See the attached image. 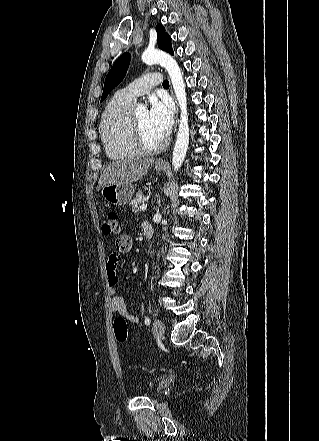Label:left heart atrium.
I'll use <instances>...</instances> for the list:
<instances>
[{
    "label": "left heart atrium",
    "mask_w": 319,
    "mask_h": 441,
    "mask_svg": "<svg viewBox=\"0 0 319 441\" xmlns=\"http://www.w3.org/2000/svg\"><path fill=\"white\" fill-rule=\"evenodd\" d=\"M148 117L152 129L158 137L164 139L169 135L173 126V112L168 101L152 99Z\"/></svg>",
    "instance_id": "1"
}]
</instances>
